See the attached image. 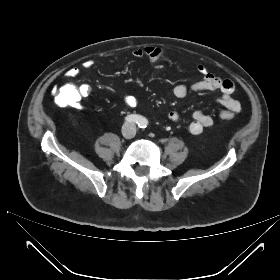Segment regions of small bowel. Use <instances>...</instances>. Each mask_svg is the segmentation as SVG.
<instances>
[{
    "mask_svg": "<svg viewBox=\"0 0 280 280\" xmlns=\"http://www.w3.org/2000/svg\"><path fill=\"white\" fill-rule=\"evenodd\" d=\"M132 55L138 59H147L150 63H157L162 59V51L154 46H147L145 48H135L132 50ZM94 62L92 60H86L82 66L84 69H90ZM157 68H162V66H157ZM198 71L203 75V79L191 84L180 83L173 88V94L177 98L185 97L190 91L193 92H204V91H220L222 96L216 101V103L225 110L220 112L221 114L228 113L233 118L235 113L241 110V104L238 100L232 97L235 89L234 82L228 78H221L209 72L208 68L204 64H199L197 67ZM79 68L72 67L68 70L67 75L70 78H75L79 75ZM80 95V101L87 98L91 92L92 87L88 83L81 84L78 88ZM138 103L136 97L132 95H126L122 98V104L125 107H135ZM76 103L75 105H77ZM168 118L177 122L180 118L178 112L170 111L168 113ZM214 121L210 115H207L201 111H195L192 114V122L189 125V130L193 135L201 134L206 128L213 125Z\"/></svg>",
    "mask_w": 280,
    "mask_h": 280,
    "instance_id": "small-bowel-1",
    "label": "small bowel"
}]
</instances>
